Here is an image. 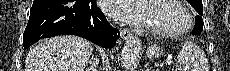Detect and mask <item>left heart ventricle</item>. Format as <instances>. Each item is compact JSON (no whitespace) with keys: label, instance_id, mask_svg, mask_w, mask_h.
<instances>
[{"label":"left heart ventricle","instance_id":"b2bd125f","mask_svg":"<svg viewBox=\"0 0 230 71\" xmlns=\"http://www.w3.org/2000/svg\"><path fill=\"white\" fill-rule=\"evenodd\" d=\"M149 13V26L173 30L180 28L184 24V16L181 11L172 4L160 0L147 1Z\"/></svg>","mask_w":230,"mask_h":71}]
</instances>
